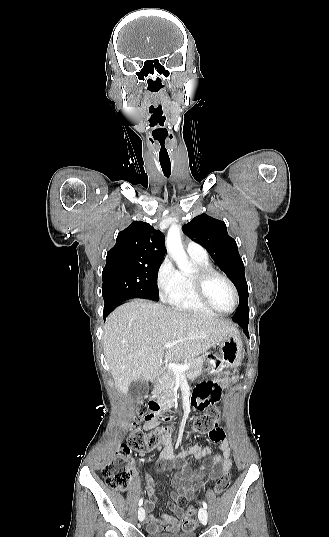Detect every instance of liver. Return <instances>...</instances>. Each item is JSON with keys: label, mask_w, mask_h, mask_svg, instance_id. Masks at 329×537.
I'll use <instances>...</instances> for the list:
<instances>
[{"label": "liver", "mask_w": 329, "mask_h": 537, "mask_svg": "<svg viewBox=\"0 0 329 537\" xmlns=\"http://www.w3.org/2000/svg\"><path fill=\"white\" fill-rule=\"evenodd\" d=\"M232 322L171 310L161 303L136 299L117 307L103 330V350L116 387L128 393L133 381H153L165 357L192 359L226 335ZM177 342L165 351L164 344ZM165 351V352H164Z\"/></svg>", "instance_id": "liver-1"}]
</instances>
